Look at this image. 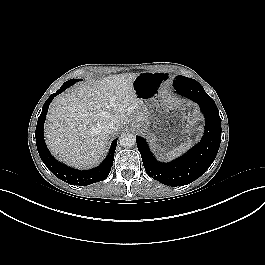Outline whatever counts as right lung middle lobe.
Masks as SVG:
<instances>
[{
	"label": "right lung middle lobe",
	"mask_w": 265,
	"mask_h": 265,
	"mask_svg": "<svg viewBox=\"0 0 265 265\" xmlns=\"http://www.w3.org/2000/svg\"><path fill=\"white\" fill-rule=\"evenodd\" d=\"M79 80H80V79H71V80L65 82V83L61 86V88H63V89L65 90L66 88L70 87L71 85H73L74 83L78 82Z\"/></svg>",
	"instance_id": "dd1d6c3e"
}]
</instances>
